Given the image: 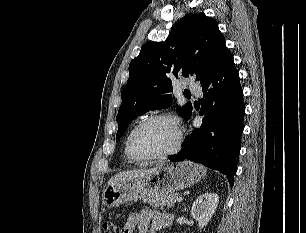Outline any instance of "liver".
Listing matches in <instances>:
<instances>
[{"label": "liver", "instance_id": "6515ba94", "mask_svg": "<svg viewBox=\"0 0 306 233\" xmlns=\"http://www.w3.org/2000/svg\"><path fill=\"white\" fill-rule=\"evenodd\" d=\"M162 167V164H160L159 166H157L156 168H151V169H138V170H132V171H125V172H120L116 175H114L108 183H113V182H117L120 180H124V179H129V178H133L136 176H139L141 174H145V173H149L152 172L158 168Z\"/></svg>", "mask_w": 306, "mask_h": 233}]
</instances>
